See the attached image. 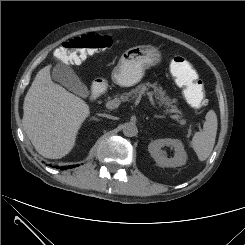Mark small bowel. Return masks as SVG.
Wrapping results in <instances>:
<instances>
[{"instance_id": "1", "label": "small bowel", "mask_w": 245, "mask_h": 245, "mask_svg": "<svg viewBox=\"0 0 245 245\" xmlns=\"http://www.w3.org/2000/svg\"><path fill=\"white\" fill-rule=\"evenodd\" d=\"M176 58H181V56H177ZM174 72L176 73V70ZM182 75L185 78L197 77L195 70L192 68V66L190 65V63L188 61H186V65L182 71Z\"/></svg>"}]
</instances>
